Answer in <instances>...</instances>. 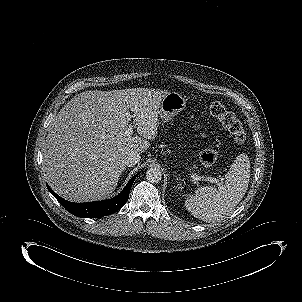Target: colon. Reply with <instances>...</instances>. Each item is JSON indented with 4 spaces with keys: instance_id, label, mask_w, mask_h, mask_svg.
Returning a JSON list of instances; mask_svg holds the SVG:
<instances>
[{
    "instance_id": "5ec220e1",
    "label": "colon",
    "mask_w": 302,
    "mask_h": 302,
    "mask_svg": "<svg viewBox=\"0 0 302 302\" xmlns=\"http://www.w3.org/2000/svg\"><path fill=\"white\" fill-rule=\"evenodd\" d=\"M211 114L216 117L233 135L234 140L241 144L246 140V132L233 113L227 110L225 105L219 101L212 102L210 105ZM218 157V153L213 148H207L200 154L201 163L208 167L211 166Z\"/></svg>"
}]
</instances>
